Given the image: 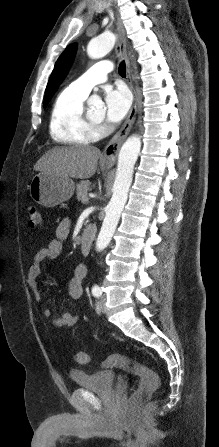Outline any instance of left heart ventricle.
Returning <instances> with one entry per match:
<instances>
[{
  "mask_svg": "<svg viewBox=\"0 0 219 447\" xmlns=\"http://www.w3.org/2000/svg\"><path fill=\"white\" fill-rule=\"evenodd\" d=\"M89 114L94 120L101 121L104 117V109L102 106H95L90 108Z\"/></svg>",
  "mask_w": 219,
  "mask_h": 447,
  "instance_id": "obj_1",
  "label": "left heart ventricle"
}]
</instances>
